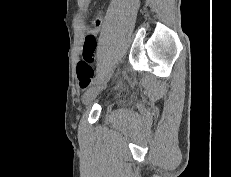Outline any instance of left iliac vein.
Returning a JSON list of instances; mask_svg holds the SVG:
<instances>
[{
	"mask_svg": "<svg viewBox=\"0 0 231 177\" xmlns=\"http://www.w3.org/2000/svg\"><path fill=\"white\" fill-rule=\"evenodd\" d=\"M112 73L102 77L95 85L91 86L83 95L82 103L86 106L93 102V100L97 97V95L101 92V90L105 87L106 83L111 78Z\"/></svg>",
	"mask_w": 231,
	"mask_h": 177,
	"instance_id": "left-iliac-vein-1",
	"label": "left iliac vein"
}]
</instances>
